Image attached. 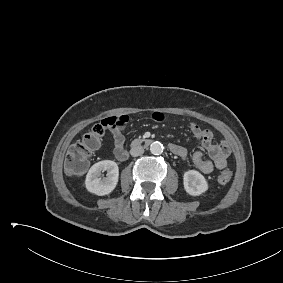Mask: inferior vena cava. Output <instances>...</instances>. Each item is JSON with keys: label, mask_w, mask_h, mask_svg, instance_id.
Instances as JSON below:
<instances>
[{"label": "inferior vena cava", "mask_w": 283, "mask_h": 283, "mask_svg": "<svg viewBox=\"0 0 283 283\" xmlns=\"http://www.w3.org/2000/svg\"><path fill=\"white\" fill-rule=\"evenodd\" d=\"M144 153V149L142 146H133L130 150V154L133 156V157H137V156H140Z\"/></svg>", "instance_id": "602c4592"}]
</instances>
